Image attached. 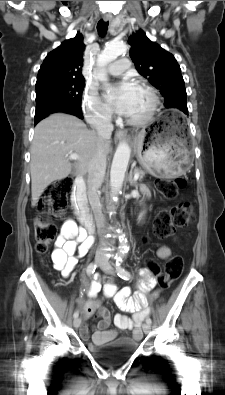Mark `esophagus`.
<instances>
[{"label": "esophagus", "mask_w": 225, "mask_h": 395, "mask_svg": "<svg viewBox=\"0 0 225 395\" xmlns=\"http://www.w3.org/2000/svg\"><path fill=\"white\" fill-rule=\"evenodd\" d=\"M104 21H111L112 20V15L111 14H105L103 16ZM127 137V132L125 130H117L115 132V138L116 139H124Z\"/></svg>", "instance_id": "34e87169"}]
</instances>
